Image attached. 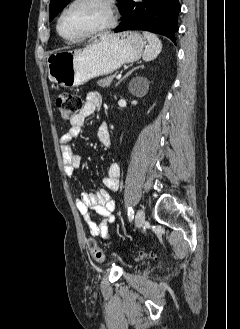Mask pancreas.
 I'll return each mask as SVG.
<instances>
[{
  "mask_svg": "<svg viewBox=\"0 0 240 329\" xmlns=\"http://www.w3.org/2000/svg\"><path fill=\"white\" fill-rule=\"evenodd\" d=\"M116 73H114V74H112V75H110V76H107V77H105V78H103V79H100V80H98V82H97V84L100 86V87H107V86H109L112 82H113V80H114V78L116 77Z\"/></svg>",
  "mask_w": 240,
  "mask_h": 329,
  "instance_id": "obj_1",
  "label": "pancreas"
}]
</instances>
